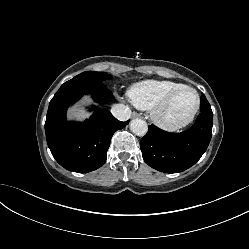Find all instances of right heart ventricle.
<instances>
[{
	"mask_svg": "<svg viewBox=\"0 0 249 249\" xmlns=\"http://www.w3.org/2000/svg\"><path fill=\"white\" fill-rule=\"evenodd\" d=\"M182 85L171 80H145L131 87L129 98L139 109L150 110L171 90Z\"/></svg>",
	"mask_w": 249,
	"mask_h": 249,
	"instance_id": "1",
	"label": "right heart ventricle"
}]
</instances>
